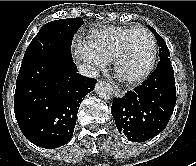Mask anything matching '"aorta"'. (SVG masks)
<instances>
[{
  "label": "aorta",
  "mask_w": 196,
  "mask_h": 166,
  "mask_svg": "<svg viewBox=\"0 0 196 166\" xmlns=\"http://www.w3.org/2000/svg\"><path fill=\"white\" fill-rule=\"evenodd\" d=\"M95 92L102 99H111L113 96V89L108 82L99 81L96 84Z\"/></svg>",
  "instance_id": "aorta-1"
}]
</instances>
